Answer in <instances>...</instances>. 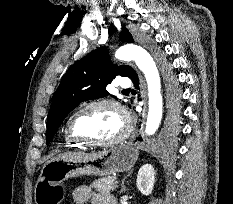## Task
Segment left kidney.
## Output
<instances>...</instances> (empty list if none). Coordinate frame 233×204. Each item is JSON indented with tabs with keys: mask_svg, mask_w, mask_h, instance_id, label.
<instances>
[{
	"mask_svg": "<svg viewBox=\"0 0 233 204\" xmlns=\"http://www.w3.org/2000/svg\"><path fill=\"white\" fill-rule=\"evenodd\" d=\"M155 171L152 165H143L137 175L136 185L143 195H150L154 188Z\"/></svg>",
	"mask_w": 233,
	"mask_h": 204,
	"instance_id": "5707ae66",
	"label": "left kidney"
}]
</instances>
